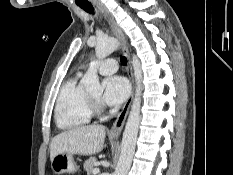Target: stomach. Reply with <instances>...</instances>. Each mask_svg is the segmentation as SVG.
<instances>
[{
	"label": "stomach",
	"mask_w": 233,
	"mask_h": 175,
	"mask_svg": "<svg viewBox=\"0 0 233 175\" xmlns=\"http://www.w3.org/2000/svg\"><path fill=\"white\" fill-rule=\"evenodd\" d=\"M51 168L57 175L63 173H74L78 170L71 154H58L51 161Z\"/></svg>",
	"instance_id": "stomach-1"
}]
</instances>
